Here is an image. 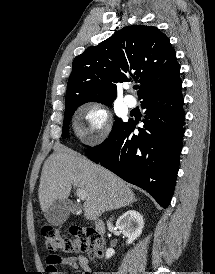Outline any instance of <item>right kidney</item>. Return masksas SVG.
I'll return each instance as SVG.
<instances>
[{
  "instance_id": "obj_1",
  "label": "right kidney",
  "mask_w": 215,
  "mask_h": 274,
  "mask_svg": "<svg viewBox=\"0 0 215 274\" xmlns=\"http://www.w3.org/2000/svg\"><path fill=\"white\" fill-rule=\"evenodd\" d=\"M116 227L127 237V244H131L141 235L144 227V220L139 212L129 210L117 219ZM114 254V249L108 248L106 251V258L108 259Z\"/></svg>"
}]
</instances>
